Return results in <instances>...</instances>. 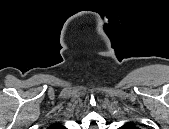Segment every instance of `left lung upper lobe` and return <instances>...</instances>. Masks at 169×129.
I'll return each mask as SVG.
<instances>
[{
    "instance_id": "1",
    "label": "left lung upper lobe",
    "mask_w": 169,
    "mask_h": 129,
    "mask_svg": "<svg viewBox=\"0 0 169 129\" xmlns=\"http://www.w3.org/2000/svg\"><path fill=\"white\" fill-rule=\"evenodd\" d=\"M125 129H135V125L133 123H127L126 125H124Z\"/></svg>"
}]
</instances>
